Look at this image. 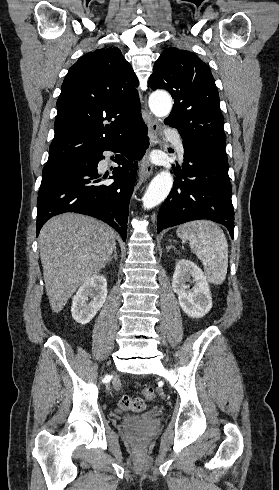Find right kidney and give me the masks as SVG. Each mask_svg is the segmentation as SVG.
Returning a JSON list of instances; mask_svg holds the SVG:
<instances>
[{"instance_id": "ca27d5eb", "label": "right kidney", "mask_w": 279, "mask_h": 490, "mask_svg": "<svg viewBox=\"0 0 279 490\" xmlns=\"http://www.w3.org/2000/svg\"><path fill=\"white\" fill-rule=\"evenodd\" d=\"M88 298H92L88 302ZM107 298V282L103 274H96L88 278L72 300L71 314L78 324H88L105 304ZM88 302V304H87Z\"/></svg>"}]
</instances>
